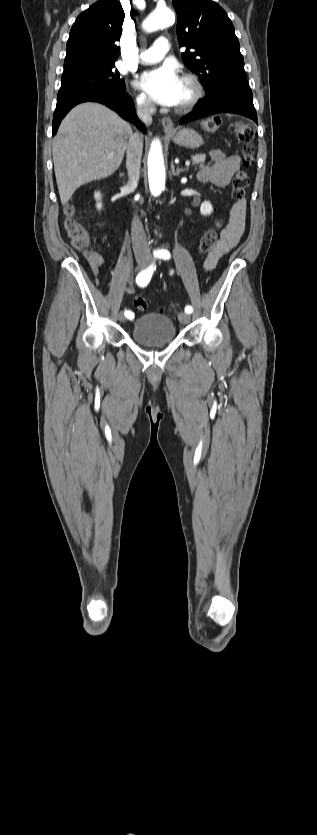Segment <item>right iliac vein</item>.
Masks as SVG:
<instances>
[{"label": "right iliac vein", "instance_id": "right-iliac-vein-1", "mask_svg": "<svg viewBox=\"0 0 317 835\" xmlns=\"http://www.w3.org/2000/svg\"><path fill=\"white\" fill-rule=\"evenodd\" d=\"M138 264L141 268H145L148 265V261L145 258H139L138 259ZM118 319H119L120 322L125 321V319H126L125 314L120 312L119 315H118Z\"/></svg>", "mask_w": 317, "mask_h": 835}]
</instances>
